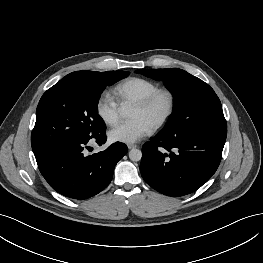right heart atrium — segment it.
Instances as JSON below:
<instances>
[{
	"label": "right heart atrium",
	"instance_id": "1",
	"mask_svg": "<svg viewBox=\"0 0 263 263\" xmlns=\"http://www.w3.org/2000/svg\"><path fill=\"white\" fill-rule=\"evenodd\" d=\"M120 104L108 92L102 93L96 102V112L100 119L108 124H115L120 117Z\"/></svg>",
	"mask_w": 263,
	"mask_h": 263
}]
</instances>
